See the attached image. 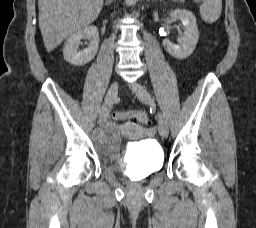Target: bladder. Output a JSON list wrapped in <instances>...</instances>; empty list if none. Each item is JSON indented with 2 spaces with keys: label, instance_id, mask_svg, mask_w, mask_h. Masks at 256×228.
I'll use <instances>...</instances> for the list:
<instances>
[{
  "label": "bladder",
  "instance_id": "bladder-1",
  "mask_svg": "<svg viewBox=\"0 0 256 228\" xmlns=\"http://www.w3.org/2000/svg\"><path fill=\"white\" fill-rule=\"evenodd\" d=\"M121 141V132L116 126L103 129L93 139L95 149L103 159L114 162L118 171L128 172L136 179L146 178L162 168L164 153L158 143L146 140L131 144L121 156Z\"/></svg>",
  "mask_w": 256,
  "mask_h": 228
}]
</instances>
